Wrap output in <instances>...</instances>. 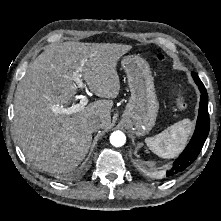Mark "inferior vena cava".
I'll use <instances>...</instances> for the list:
<instances>
[{"label":"inferior vena cava","mask_w":221,"mask_h":221,"mask_svg":"<svg viewBox=\"0 0 221 221\" xmlns=\"http://www.w3.org/2000/svg\"><path fill=\"white\" fill-rule=\"evenodd\" d=\"M88 127L92 132H96L102 127V121L99 118L90 119L88 121Z\"/></svg>","instance_id":"inferior-vena-cava-1"}]
</instances>
